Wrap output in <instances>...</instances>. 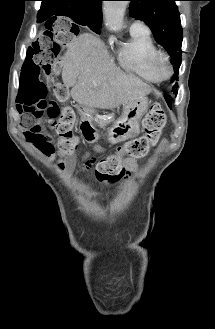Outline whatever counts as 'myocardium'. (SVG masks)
I'll return each mask as SVG.
<instances>
[{
	"label": "myocardium",
	"instance_id": "f54148a6",
	"mask_svg": "<svg viewBox=\"0 0 215 329\" xmlns=\"http://www.w3.org/2000/svg\"><path fill=\"white\" fill-rule=\"evenodd\" d=\"M152 68L157 77L162 81L173 75V65L170 56L165 51H158L152 59Z\"/></svg>",
	"mask_w": 215,
	"mask_h": 329
}]
</instances>
